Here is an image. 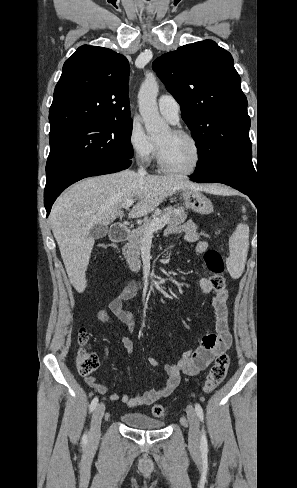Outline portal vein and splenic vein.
Returning <instances> with one entry per match:
<instances>
[{"label": "portal vein and splenic vein", "mask_w": 297, "mask_h": 488, "mask_svg": "<svg viewBox=\"0 0 297 488\" xmlns=\"http://www.w3.org/2000/svg\"><path fill=\"white\" fill-rule=\"evenodd\" d=\"M134 203V199L126 200L121 206L123 209H128ZM167 222V216L164 215L161 218L154 219L149 225L144 229V239L151 240L153 237V232L162 228Z\"/></svg>", "instance_id": "18ae733b"}]
</instances>
